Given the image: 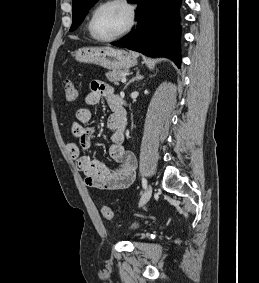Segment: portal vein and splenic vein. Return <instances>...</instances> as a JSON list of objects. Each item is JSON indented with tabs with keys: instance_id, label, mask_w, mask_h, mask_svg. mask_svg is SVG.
I'll return each mask as SVG.
<instances>
[{
	"instance_id": "obj_1",
	"label": "portal vein and splenic vein",
	"mask_w": 259,
	"mask_h": 283,
	"mask_svg": "<svg viewBox=\"0 0 259 283\" xmlns=\"http://www.w3.org/2000/svg\"><path fill=\"white\" fill-rule=\"evenodd\" d=\"M126 80H127V79H126V77H125V76H123V77H122V79H121V82H122V83H125V82H126Z\"/></svg>"
}]
</instances>
